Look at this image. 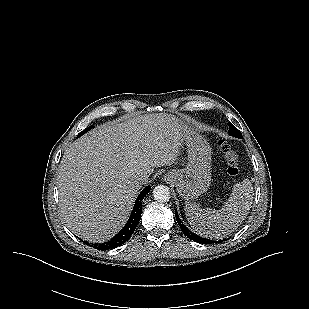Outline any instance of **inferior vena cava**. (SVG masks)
<instances>
[{
  "label": "inferior vena cava",
  "mask_w": 309,
  "mask_h": 309,
  "mask_svg": "<svg viewBox=\"0 0 309 309\" xmlns=\"http://www.w3.org/2000/svg\"><path fill=\"white\" fill-rule=\"evenodd\" d=\"M147 181L146 177L143 175H139V176H135L133 178V183L138 186L141 187L143 184H145Z\"/></svg>",
  "instance_id": "602c4592"
}]
</instances>
